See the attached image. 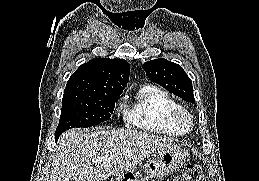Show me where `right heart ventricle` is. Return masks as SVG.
I'll return each instance as SVG.
<instances>
[{"instance_id":"e07e8e85","label":"right heart ventricle","mask_w":259,"mask_h":181,"mask_svg":"<svg viewBox=\"0 0 259 181\" xmlns=\"http://www.w3.org/2000/svg\"><path fill=\"white\" fill-rule=\"evenodd\" d=\"M182 106L165 89L155 85H144L134 99L124 106L127 126L143 131L181 136L187 128L177 121Z\"/></svg>"}]
</instances>
